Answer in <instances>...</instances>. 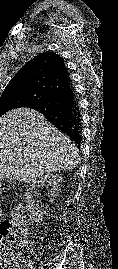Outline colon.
<instances>
[{
	"mask_svg": "<svg viewBox=\"0 0 118 269\" xmlns=\"http://www.w3.org/2000/svg\"><path fill=\"white\" fill-rule=\"evenodd\" d=\"M2 182L0 180V189ZM27 234L26 220L19 211L0 226V269H18L17 252L19 245Z\"/></svg>",
	"mask_w": 118,
	"mask_h": 269,
	"instance_id": "obj_1",
	"label": "colon"
}]
</instances>
